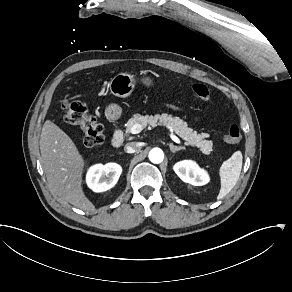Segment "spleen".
Returning a JSON list of instances; mask_svg holds the SVG:
<instances>
[{
  "instance_id": "obj_1",
  "label": "spleen",
  "mask_w": 292,
  "mask_h": 292,
  "mask_svg": "<svg viewBox=\"0 0 292 292\" xmlns=\"http://www.w3.org/2000/svg\"><path fill=\"white\" fill-rule=\"evenodd\" d=\"M243 155L236 150L219 168L220 191L217 200L224 198L236 185L242 170Z\"/></svg>"
}]
</instances>
